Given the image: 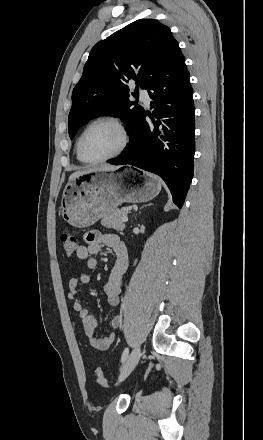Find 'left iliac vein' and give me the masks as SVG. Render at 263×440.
<instances>
[{
	"instance_id": "4c4485c4",
	"label": "left iliac vein",
	"mask_w": 263,
	"mask_h": 440,
	"mask_svg": "<svg viewBox=\"0 0 263 440\" xmlns=\"http://www.w3.org/2000/svg\"><path fill=\"white\" fill-rule=\"evenodd\" d=\"M141 356L140 346H136L121 367L118 381H123L135 368Z\"/></svg>"
}]
</instances>
